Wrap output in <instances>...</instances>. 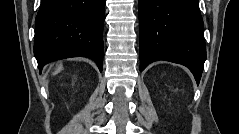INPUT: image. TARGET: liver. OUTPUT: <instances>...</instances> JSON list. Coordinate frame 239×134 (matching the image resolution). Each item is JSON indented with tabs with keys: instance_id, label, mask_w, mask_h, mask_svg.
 <instances>
[{
	"instance_id": "6515ba94",
	"label": "liver",
	"mask_w": 239,
	"mask_h": 134,
	"mask_svg": "<svg viewBox=\"0 0 239 134\" xmlns=\"http://www.w3.org/2000/svg\"><path fill=\"white\" fill-rule=\"evenodd\" d=\"M62 69H63L62 64L58 65L57 68H56V70L54 71L53 74H57V73H59L60 71H62Z\"/></svg>"
}]
</instances>
